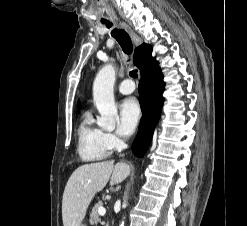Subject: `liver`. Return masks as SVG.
Instances as JSON below:
<instances>
[{
    "mask_svg": "<svg viewBox=\"0 0 247 226\" xmlns=\"http://www.w3.org/2000/svg\"><path fill=\"white\" fill-rule=\"evenodd\" d=\"M131 167L121 162L103 161L79 166L70 176L62 200L64 226H80L87 208L96 195L108 183H121L130 174Z\"/></svg>",
    "mask_w": 247,
    "mask_h": 226,
    "instance_id": "obj_1",
    "label": "liver"
}]
</instances>
